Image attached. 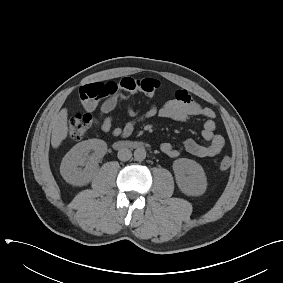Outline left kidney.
Segmentation results:
<instances>
[{
  "label": "left kidney",
  "mask_w": 283,
  "mask_h": 283,
  "mask_svg": "<svg viewBox=\"0 0 283 283\" xmlns=\"http://www.w3.org/2000/svg\"><path fill=\"white\" fill-rule=\"evenodd\" d=\"M173 170L179 189L188 196H200L207 188V178L200 164L187 158L173 163Z\"/></svg>",
  "instance_id": "left-kidney-1"
}]
</instances>
